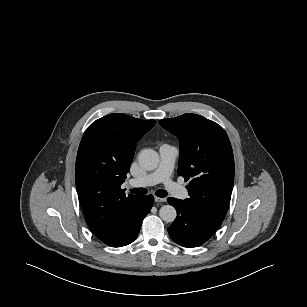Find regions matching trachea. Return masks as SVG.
<instances>
[{"mask_svg":"<svg viewBox=\"0 0 307 307\" xmlns=\"http://www.w3.org/2000/svg\"><path fill=\"white\" fill-rule=\"evenodd\" d=\"M131 193L133 194H146L147 193V189L145 188H133L130 190ZM167 191L166 190H163V189H159L156 191L155 195L158 196V197H161V198H164L167 196Z\"/></svg>","mask_w":307,"mask_h":307,"instance_id":"trachea-1","label":"trachea"}]
</instances>
